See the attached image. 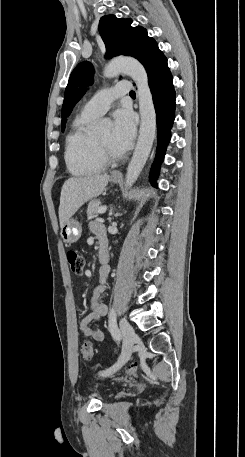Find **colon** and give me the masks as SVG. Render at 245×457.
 <instances>
[{"label":"colon","mask_w":245,"mask_h":457,"mask_svg":"<svg viewBox=\"0 0 245 457\" xmlns=\"http://www.w3.org/2000/svg\"><path fill=\"white\" fill-rule=\"evenodd\" d=\"M67 261L69 263L71 271L80 275L83 272L84 268V259L83 257L75 250L67 251ZM80 354L84 359H90L93 356V343L92 341L86 339L80 344ZM137 371L136 364H132L130 367L125 370L126 373L135 374Z\"/></svg>","instance_id":"colon-1"}]
</instances>
